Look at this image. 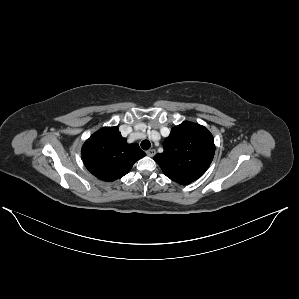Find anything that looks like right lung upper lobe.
Instances as JSON below:
<instances>
[{"mask_svg":"<svg viewBox=\"0 0 299 299\" xmlns=\"http://www.w3.org/2000/svg\"><path fill=\"white\" fill-rule=\"evenodd\" d=\"M145 156L136 143L128 144L117 127H104L84 143L82 157L87 169L98 179L114 181L126 175Z\"/></svg>","mask_w":299,"mask_h":299,"instance_id":"cb5924a9","label":"right lung upper lobe"}]
</instances>
